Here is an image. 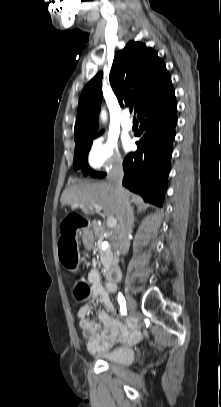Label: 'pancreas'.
<instances>
[{
    "label": "pancreas",
    "mask_w": 221,
    "mask_h": 407,
    "mask_svg": "<svg viewBox=\"0 0 221 407\" xmlns=\"http://www.w3.org/2000/svg\"><path fill=\"white\" fill-rule=\"evenodd\" d=\"M104 238L112 240L113 233L109 230H100L99 234L100 241L103 240ZM111 248H112L111 245H109V247L106 250H102L101 246L100 245L98 246L100 259L105 268H109L113 262V253L111 251Z\"/></svg>",
    "instance_id": "obj_1"
}]
</instances>
